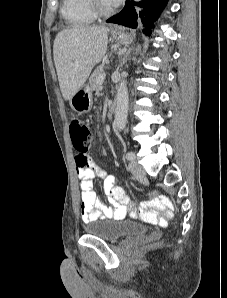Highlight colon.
I'll list each match as a JSON object with an SVG mask.
<instances>
[{
  "label": "colon",
  "instance_id": "5ec220e1",
  "mask_svg": "<svg viewBox=\"0 0 227 298\" xmlns=\"http://www.w3.org/2000/svg\"><path fill=\"white\" fill-rule=\"evenodd\" d=\"M69 127L74 149L88 151L92 142V135L88 125L80 119H73ZM145 204L162 210L166 217H170L172 214V206L169 200L158 195L157 192H152L150 199Z\"/></svg>",
  "mask_w": 227,
  "mask_h": 298
}]
</instances>
